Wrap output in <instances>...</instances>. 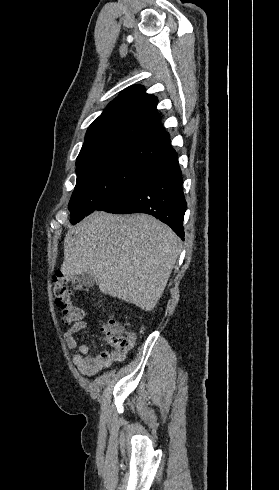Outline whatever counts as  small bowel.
I'll use <instances>...</instances> for the list:
<instances>
[{
  "mask_svg": "<svg viewBox=\"0 0 279 490\" xmlns=\"http://www.w3.org/2000/svg\"><path fill=\"white\" fill-rule=\"evenodd\" d=\"M89 325L86 322H79L69 327L64 332V341L69 348H77L73 355L72 361L81 375L94 377L100 371L110 367L112 364L122 362L126 359V354L118 351H102L99 354H92L86 344H78L77 334L81 331H87Z\"/></svg>",
  "mask_w": 279,
  "mask_h": 490,
  "instance_id": "c3829d8e",
  "label": "small bowel"
}]
</instances>
